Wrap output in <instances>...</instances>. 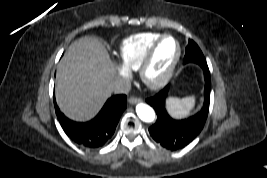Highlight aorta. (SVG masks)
I'll return each instance as SVG.
<instances>
[{
	"mask_svg": "<svg viewBox=\"0 0 267 178\" xmlns=\"http://www.w3.org/2000/svg\"><path fill=\"white\" fill-rule=\"evenodd\" d=\"M138 117L144 122H152L155 119V112L152 107L147 104L140 103L136 106Z\"/></svg>",
	"mask_w": 267,
	"mask_h": 178,
	"instance_id": "aorta-1",
	"label": "aorta"
}]
</instances>
